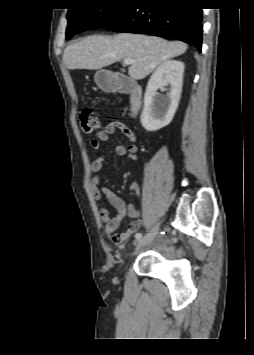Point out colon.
<instances>
[{
	"label": "colon",
	"instance_id": "5ec220e1",
	"mask_svg": "<svg viewBox=\"0 0 254 355\" xmlns=\"http://www.w3.org/2000/svg\"><path fill=\"white\" fill-rule=\"evenodd\" d=\"M79 121L84 132H92L100 126L99 115L92 108L82 110L79 115Z\"/></svg>",
	"mask_w": 254,
	"mask_h": 355
}]
</instances>
